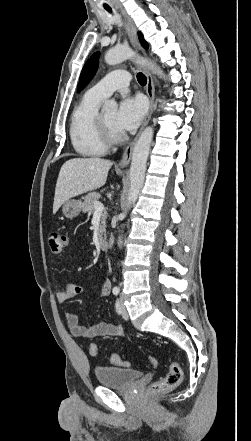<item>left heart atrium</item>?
Segmentation results:
<instances>
[{
    "instance_id": "left-heart-atrium-1",
    "label": "left heart atrium",
    "mask_w": 251,
    "mask_h": 441,
    "mask_svg": "<svg viewBox=\"0 0 251 441\" xmlns=\"http://www.w3.org/2000/svg\"><path fill=\"white\" fill-rule=\"evenodd\" d=\"M146 111L141 97H126L122 100L116 113L115 126L121 132L135 130Z\"/></svg>"
}]
</instances>
